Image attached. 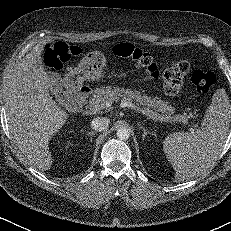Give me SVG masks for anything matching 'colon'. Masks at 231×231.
<instances>
[{
    "mask_svg": "<svg viewBox=\"0 0 231 231\" xmlns=\"http://www.w3.org/2000/svg\"><path fill=\"white\" fill-rule=\"evenodd\" d=\"M81 50L63 41L47 45L43 51L44 62L50 69L59 70L72 57L78 56ZM114 55L129 60L133 65L144 71L151 78H159L160 73L152 57L129 43H120L113 47ZM190 70V62L182 59L172 63L162 74L163 87L166 93L174 95L180 91L184 77ZM212 72L198 70L192 74L191 82L199 94H206L215 83Z\"/></svg>",
    "mask_w": 231,
    "mask_h": 231,
    "instance_id": "1",
    "label": "colon"
}]
</instances>
